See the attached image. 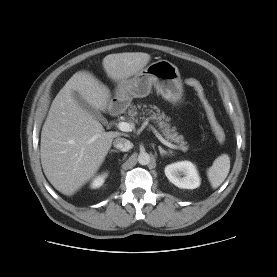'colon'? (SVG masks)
Wrapping results in <instances>:
<instances>
[{"label":"colon","instance_id":"colon-1","mask_svg":"<svg viewBox=\"0 0 277 277\" xmlns=\"http://www.w3.org/2000/svg\"><path fill=\"white\" fill-rule=\"evenodd\" d=\"M186 84L188 86L192 87L194 89V91L196 92V94L201 102L202 108L204 110L209 127H210L215 139L217 140L218 143L223 144L226 140L225 130H224L223 126L220 124L212 105L210 104L209 100L207 99L205 91L203 89V86L201 85V83L198 80H196L194 78L186 79Z\"/></svg>","mask_w":277,"mask_h":277}]
</instances>
